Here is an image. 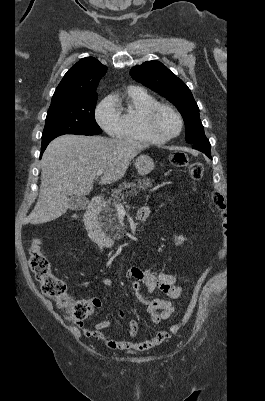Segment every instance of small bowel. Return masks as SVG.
I'll use <instances>...</instances> for the list:
<instances>
[{"mask_svg":"<svg viewBox=\"0 0 265 401\" xmlns=\"http://www.w3.org/2000/svg\"><path fill=\"white\" fill-rule=\"evenodd\" d=\"M139 212L147 218L150 214V208L143 207ZM97 247L100 252H103V246L97 244ZM125 276L127 279L131 280V288L134 296L136 300L145 307L146 312L151 316L153 324H158L174 314L175 308L170 300L161 298L148 299L143 293V287L146 288L149 294L160 292L169 299L180 298L184 289L179 285L178 275L165 273L152 267L142 269L132 266L127 269ZM101 283L107 287L113 286V281L109 278H102ZM98 306H100V301ZM119 315L123 316V312L119 311ZM108 325V320L101 321L96 324L93 329H84V334L88 337L100 339L111 349L134 351H144L155 348L168 338L166 336V331H162L148 340H133L132 338L136 335L138 327L136 321L132 320L130 321L131 338L129 340H116L102 332V329L106 328Z\"/></svg>","mask_w":265,"mask_h":401,"instance_id":"obj_1","label":"small bowel"}]
</instances>
